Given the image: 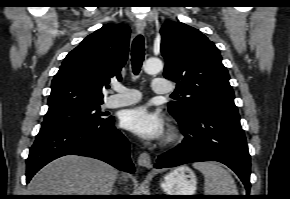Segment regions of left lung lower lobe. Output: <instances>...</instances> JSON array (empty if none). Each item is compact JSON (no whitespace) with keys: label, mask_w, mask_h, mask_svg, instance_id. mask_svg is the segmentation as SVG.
<instances>
[{"label":"left lung lower lobe","mask_w":290,"mask_h":199,"mask_svg":"<svg viewBox=\"0 0 290 199\" xmlns=\"http://www.w3.org/2000/svg\"><path fill=\"white\" fill-rule=\"evenodd\" d=\"M176 120L185 138L176 148L160 155L155 167L218 161L239 176L248 194L251 187V162L240 118L224 117L204 109H196L185 118Z\"/></svg>","instance_id":"0a47b994"}]
</instances>
